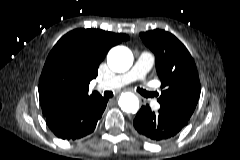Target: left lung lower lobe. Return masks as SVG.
Instances as JSON below:
<instances>
[{
  "label": "left lung lower lobe",
  "instance_id": "left-lung-lower-lobe-1",
  "mask_svg": "<svg viewBox=\"0 0 240 160\" xmlns=\"http://www.w3.org/2000/svg\"><path fill=\"white\" fill-rule=\"evenodd\" d=\"M187 122L188 120L176 116L165 108L153 112L149 105H146L136 114L133 125L147 141L164 142L173 138Z\"/></svg>",
  "mask_w": 240,
  "mask_h": 160
}]
</instances>
